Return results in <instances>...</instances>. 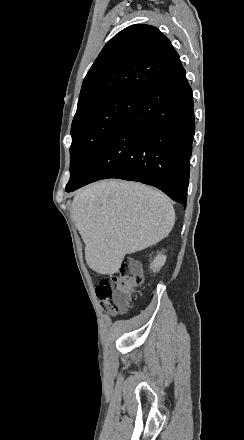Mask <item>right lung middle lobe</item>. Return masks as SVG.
<instances>
[{
	"instance_id": "obj_1",
	"label": "right lung middle lobe",
	"mask_w": 244,
	"mask_h": 440,
	"mask_svg": "<svg viewBox=\"0 0 244 440\" xmlns=\"http://www.w3.org/2000/svg\"><path fill=\"white\" fill-rule=\"evenodd\" d=\"M140 98L120 94L78 105L71 127L70 180L66 187L80 178L95 154L135 108Z\"/></svg>"
}]
</instances>
